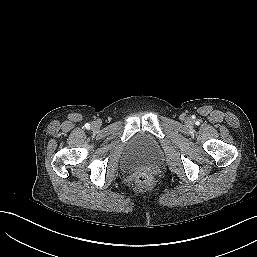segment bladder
Wrapping results in <instances>:
<instances>
[{
  "mask_svg": "<svg viewBox=\"0 0 257 257\" xmlns=\"http://www.w3.org/2000/svg\"><path fill=\"white\" fill-rule=\"evenodd\" d=\"M161 156V148L158 141L148 132L135 133L124 151V161L131 167L152 166Z\"/></svg>",
  "mask_w": 257,
  "mask_h": 257,
  "instance_id": "obj_1",
  "label": "bladder"
}]
</instances>
